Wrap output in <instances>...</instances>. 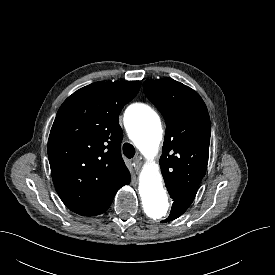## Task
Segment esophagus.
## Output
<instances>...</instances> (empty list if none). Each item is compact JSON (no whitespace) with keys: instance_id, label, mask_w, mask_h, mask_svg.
I'll return each instance as SVG.
<instances>
[{"instance_id":"1","label":"esophagus","mask_w":275,"mask_h":275,"mask_svg":"<svg viewBox=\"0 0 275 275\" xmlns=\"http://www.w3.org/2000/svg\"><path fill=\"white\" fill-rule=\"evenodd\" d=\"M133 163H134V165H135L137 168H139V167L142 166L143 160H142L141 157L137 156V157H135V158L133 159Z\"/></svg>"}]
</instances>
